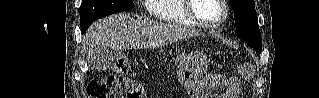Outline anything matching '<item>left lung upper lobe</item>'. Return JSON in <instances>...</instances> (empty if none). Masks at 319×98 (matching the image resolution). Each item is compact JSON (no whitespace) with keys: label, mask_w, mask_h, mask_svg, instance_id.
<instances>
[{"label":"left lung upper lobe","mask_w":319,"mask_h":98,"mask_svg":"<svg viewBox=\"0 0 319 98\" xmlns=\"http://www.w3.org/2000/svg\"><path fill=\"white\" fill-rule=\"evenodd\" d=\"M235 14L236 35L253 47L257 52L262 50V39L259 31L254 0H229Z\"/></svg>","instance_id":"5c2ea615"}]
</instances>
